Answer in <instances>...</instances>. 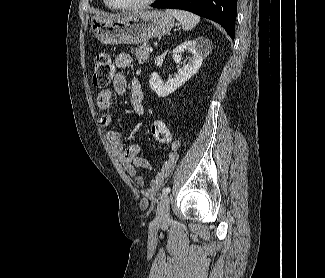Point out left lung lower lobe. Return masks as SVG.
I'll list each match as a JSON object with an SVG mask.
<instances>
[{
  "label": "left lung lower lobe",
  "instance_id": "obj_1",
  "mask_svg": "<svg viewBox=\"0 0 325 278\" xmlns=\"http://www.w3.org/2000/svg\"><path fill=\"white\" fill-rule=\"evenodd\" d=\"M154 8L183 9L208 18L224 27L232 39L235 36L236 0H157Z\"/></svg>",
  "mask_w": 325,
  "mask_h": 278
}]
</instances>
